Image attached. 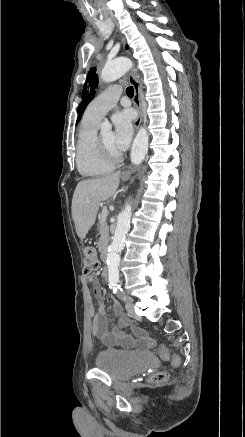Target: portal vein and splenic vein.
I'll return each instance as SVG.
<instances>
[{"mask_svg": "<svg viewBox=\"0 0 245 437\" xmlns=\"http://www.w3.org/2000/svg\"><path fill=\"white\" fill-rule=\"evenodd\" d=\"M107 215H108V210H107V208H106V209L103 210V213H102V219L105 220L106 217H107Z\"/></svg>", "mask_w": 245, "mask_h": 437, "instance_id": "18ae733b", "label": "portal vein and splenic vein"}]
</instances>
